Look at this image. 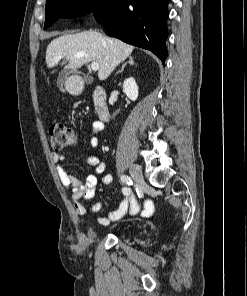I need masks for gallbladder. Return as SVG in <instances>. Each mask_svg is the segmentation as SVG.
<instances>
[{
  "instance_id": "1",
  "label": "gallbladder",
  "mask_w": 247,
  "mask_h": 296,
  "mask_svg": "<svg viewBox=\"0 0 247 296\" xmlns=\"http://www.w3.org/2000/svg\"><path fill=\"white\" fill-rule=\"evenodd\" d=\"M68 75H69V71L65 70V71L61 72L58 77L57 85L62 92H66L65 85L68 80ZM83 79L86 84H90L93 81V78L89 77V76H84Z\"/></svg>"
}]
</instances>
